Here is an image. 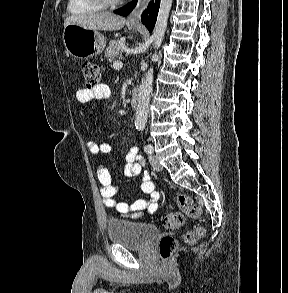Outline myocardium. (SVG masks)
I'll return each mask as SVG.
<instances>
[{
	"instance_id": "obj_1",
	"label": "myocardium",
	"mask_w": 288,
	"mask_h": 293,
	"mask_svg": "<svg viewBox=\"0 0 288 293\" xmlns=\"http://www.w3.org/2000/svg\"><path fill=\"white\" fill-rule=\"evenodd\" d=\"M98 1L104 4L105 6H114V5L120 4L123 0H98Z\"/></svg>"
}]
</instances>
